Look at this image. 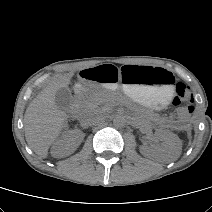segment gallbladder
Listing matches in <instances>:
<instances>
[{
  "instance_id": "bac80fb5",
  "label": "gallbladder",
  "mask_w": 212,
  "mask_h": 212,
  "mask_svg": "<svg viewBox=\"0 0 212 212\" xmlns=\"http://www.w3.org/2000/svg\"><path fill=\"white\" fill-rule=\"evenodd\" d=\"M72 101V93L68 87H62L55 93V103L61 110H68Z\"/></svg>"
}]
</instances>
